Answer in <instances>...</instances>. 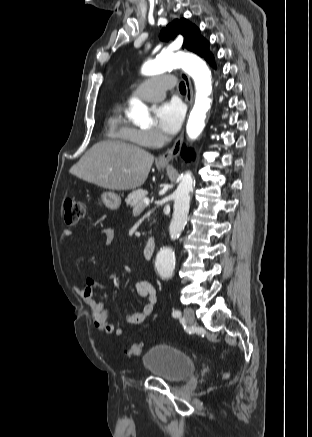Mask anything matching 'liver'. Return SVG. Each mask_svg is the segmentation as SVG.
Listing matches in <instances>:
<instances>
[{
	"label": "liver",
	"instance_id": "1",
	"mask_svg": "<svg viewBox=\"0 0 312 437\" xmlns=\"http://www.w3.org/2000/svg\"><path fill=\"white\" fill-rule=\"evenodd\" d=\"M154 156L127 143L105 140L93 145L70 173L103 188L130 190L148 178Z\"/></svg>",
	"mask_w": 312,
	"mask_h": 437
}]
</instances>
